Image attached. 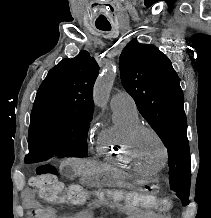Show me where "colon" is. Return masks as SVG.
Segmentation results:
<instances>
[{
  "mask_svg": "<svg viewBox=\"0 0 211 218\" xmlns=\"http://www.w3.org/2000/svg\"><path fill=\"white\" fill-rule=\"evenodd\" d=\"M39 196L52 203L80 204L92 197L96 200H111L140 209H155L165 213L170 209L167 199L143 190L97 189L87 190L80 185L65 186L57 178L55 167L42 164L36 168L35 176L30 179Z\"/></svg>",
  "mask_w": 211,
  "mask_h": 218,
  "instance_id": "colon-1",
  "label": "colon"
}]
</instances>
